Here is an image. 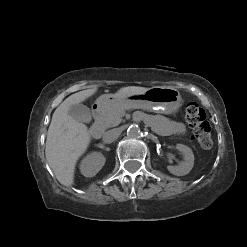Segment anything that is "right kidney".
Segmentation results:
<instances>
[{"instance_id":"1","label":"right kidney","mask_w":247,"mask_h":247,"mask_svg":"<svg viewBox=\"0 0 247 247\" xmlns=\"http://www.w3.org/2000/svg\"><path fill=\"white\" fill-rule=\"evenodd\" d=\"M105 157L100 152H92L88 154L80 164V171L85 177L95 176L104 166Z\"/></svg>"}]
</instances>
